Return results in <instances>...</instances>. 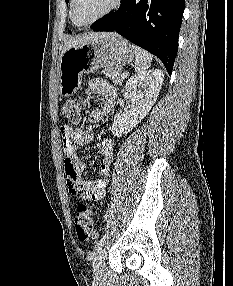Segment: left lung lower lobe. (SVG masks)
Segmentation results:
<instances>
[{
  "label": "left lung lower lobe",
  "mask_w": 233,
  "mask_h": 286,
  "mask_svg": "<svg viewBox=\"0 0 233 286\" xmlns=\"http://www.w3.org/2000/svg\"><path fill=\"white\" fill-rule=\"evenodd\" d=\"M185 0H122L119 9L91 25L94 31H116L157 56L172 73Z\"/></svg>",
  "instance_id": "left-lung-lower-lobe-1"
}]
</instances>
